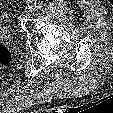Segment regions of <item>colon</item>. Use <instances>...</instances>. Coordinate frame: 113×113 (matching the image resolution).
Here are the masks:
<instances>
[{"label":"colon","instance_id":"5ec220e1","mask_svg":"<svg viewBox=\"0 0 113 113\" xmlns=\"http://www.w3.org/2000/svg\"><path fill=\"white\" fill-rule=\"evenodd\" d=\"M11 61H12L11 50L7 46L0 44V69L10 65Z\"/></svg>","mask_w":113,"mask_h":113}]
</instances>
